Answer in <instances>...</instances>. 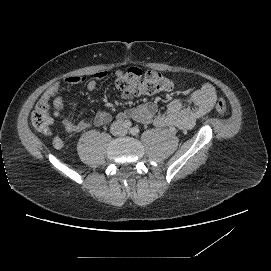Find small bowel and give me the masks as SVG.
I'll return each instance as SVG.
<instances>
[{
    "label": "small bowel",
    "instance_id": "obj_1",
    "mask_svg": "<svg viewBox=\"0 0 271 271\" xmlns=\"http://www.w3.org/2000/svg\"><path fill=\"white\" fill-rule=\"evenodd\" d=\"M117 80L123 75L122 71H116ZM107 76L105 71H99L94 74V78L86 80L81 76H69L64 79L67 85H80L85 83L88 91L92 92L97 87V82L103 80ZM60 83H53L44 93L42 99L49 100L58 93ZM122 98L130 100L132 94L122 92ZM217 99L215 88L212 84L206 83L199 90L189 94L186 98L173 99L167 105L164 113H160L156 105L152 103L144 104L140 107L120 112L117 117L119 119L133 118L141 123H153L157 127H176L178 129H190L195 123L207 114L215 105ZM54 106L61 111L64 107L63 94L58 95L54 99ZM111 114L106 111L96 113L93 124L95 126H103L111 120ZM62 125L67 132H80L91 126V123L85 120L71 122L65 117L61 118ZM54 146L61 147L62 140L59 137L54 138Z\"/></svg>",
    "mask_w": 271,
    "mask_h": 271
}]
</instances>
